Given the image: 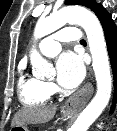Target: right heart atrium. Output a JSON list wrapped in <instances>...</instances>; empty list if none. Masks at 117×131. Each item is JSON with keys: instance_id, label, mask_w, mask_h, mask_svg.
Instances as JSON below:
<instances>
[{"instance_id": "right-heart-atrium-1", "label": "right heart atrium", "mask_w": 117, "mask_h": 131, "mask_svg": "<svg viewBox=\"0 0 117 131\" xmlns=\"http://www.w3.org/2000/svg\"><path fill=\"white\" fill-rule=\"evenodd\" d=\"M47 86L50 92H53L55 90V86L52 83H48Z\"/></svg>"}]
</instances>
